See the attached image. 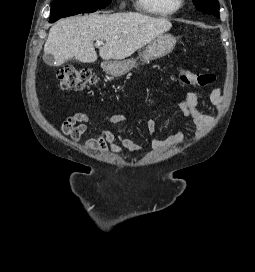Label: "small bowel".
I'll return each instance as SVG.
<instances>
[{"label":"small bowel","mask_w":255,"mask_h":272,"mask_svg":"<svg viewBox=\"0 0 255 272\" xmlns=\"http://www.w3.org/2000/svg\"><path fill=\"white\" fill-rule=\"evenodd\" d=\"M210 102L218 109L223 104V95L221 88H215L209 96ZM177 105L181 109L186 123L177 133L166 139H152L151 145L156 150H163L167 147L179 144L183 138L187 125L194 126L201 133L212 122V117L203 113L199 109V96L195 91L187 92L183 97L177 100ZM127 118L122 114H113L106 120L107 124H125ZM89 123V117L85 113H76L69 116L61 125V131L65 136L70 137L75 142H80L81 136L86 131ZM147 132L150 136L155 133L156 123L154 118H149L146 122ZM85 147L96 152L110 150L113 153H122L125 150L140 151L142 146L121 134H115L110 130H103L99 137L88 139Z\"/></svg>","instance_id":"c3829d8e"}]
</instances>
